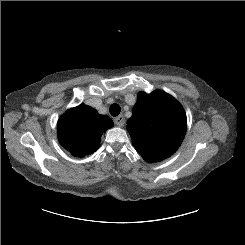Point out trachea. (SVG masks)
Instances as JSON below:
<instances>
[{
  "label": "trachea",
  "mask_w": 245,
  "mask_h": 245,
  "mask_svg": "<svg viewBox=\"0 0 245 245\" xmlns=\"http://www.w3.org/2000/svg\"><path fill=\"white\" fill-rule=\"evenodd\" d=\"M120 111H121V108H120V106L118 105V104H112L111 106H110V114L112 115V116H118L119 114H120Z\"/></svg>",
  "instance_id": "trachea-1"
}]
</instances>
